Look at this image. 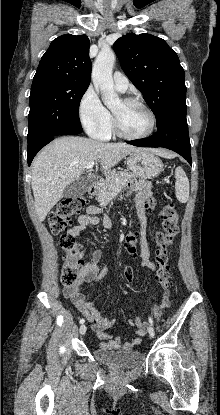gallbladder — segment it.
I'll return each instance as SVG.
<instances>
[{
  "label": "gallbladder",
  "mask_w": 220,
  "mask_h": 415,
  "mask_svg": "<svg viewBox=\"0 0 220 415\" xmlns=\"http://www.w3.org/2000/svg\"><path fill=\"white\" fill-rule=\"evenodd\" d=\"M88 185L89 182L86 178H80L65 188L63 197L78 198L86 192Z\"/></svg>",
  "instance_id": "bac80fb5"
}]
</instances>
